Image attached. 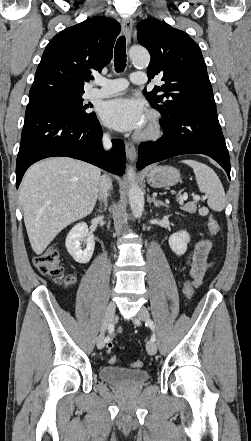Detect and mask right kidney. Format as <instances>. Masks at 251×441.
I'll list each match as a JSON object with an SVG mask.
<instances>
[{"mask_svg": "<svg viewBox=\"0 0 251 441\" xmlns=\"http://www.w3.org/2000/svg\"><path fill=\"white\" fill-rule=\"evenodd\" d=\"M86 243V248L82 250L81 242ZM68 253L78 263L90 261L95 247L94 235L89 232L85 222L76 224L68 233L65 242Z\"/></svg>", "mask_w": 251, "mask_h": 441, "instance_id": "obj_1", "label": "right kidney"}]
</instances>
